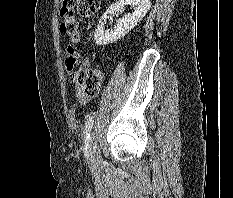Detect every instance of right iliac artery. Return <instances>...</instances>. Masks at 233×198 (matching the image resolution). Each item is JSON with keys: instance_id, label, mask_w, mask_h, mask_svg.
<instances>
[{"instance_id": "obj_1", "label": "right iliac artery", "mask_w": 233, "mask_h": 198, "mask_svg": "<svg viewBox=\"0 0 233 198\" xmlns=\"http://www.w3.org/2000/svg\"><path fill=\"white\" fill-rule=\"evenodd\" d=\"M93 124V116L89 118V120L86 123L85 128V141H86V155L88 156L87 149L89 147V139H90V131Z\"/></svg>"}]
</instances>
